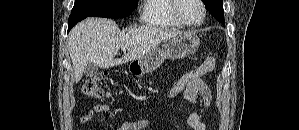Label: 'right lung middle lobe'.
I'll list each match as a JSON object with an SVG mask.
<instances>
[{"label":"right lung middle lobe","mask_w":299,"mask_h":130,"mask_svg":"<svg viewBox=\"0 0 299 130\" xmlns=\"http://www.w3.org/2000/svg\"><path fill=\"white\" fill-rule=\"evenodd\" d=\"M138 0H75L72 16L123 18L136 8Z\"/></svg>","instance_id":"dd1d6c3e"}]
</instances>
